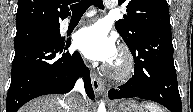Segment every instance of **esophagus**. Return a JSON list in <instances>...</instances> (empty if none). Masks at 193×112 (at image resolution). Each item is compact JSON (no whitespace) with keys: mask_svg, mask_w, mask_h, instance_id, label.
Masks as SVG:
<instances>
[{"mask_svg":"<svg viewBox=\"0 0 193 112\" xmlns=\"http://www.w3.org/2000/svg\"><path fill=\"white\" fill-rule=\"evenodd\" d=\"M91 83L94 93L96 97H98L103 90V84L101 79L95 73L91 74Z\"/></svg>","mask_w":193,"mask_h":112,"instance_id":"34e87169","label":"esophagus"}]
</instances>
